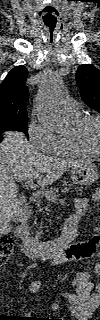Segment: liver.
<instances>
[{"mask_svg": "<svg viewBox=\"0 0 100 320\" xmlns=\"http://www.w3.org/2000/svg\"><path fill=\"white\" fill-rule=\"evenodd\" d=\"M83 161L45 156L30 145L23 133L7 132L0 143L1 227L7 228L10 219L22 212L17 180L34 178L39 185L46 186Z\"/></svg>", "mask_w": 100, "mask_h": 320, "instance_id": "1", "label": "liver"}]
</instances>
